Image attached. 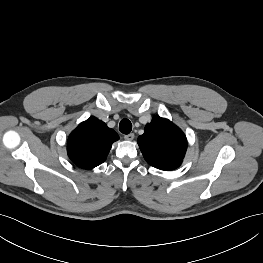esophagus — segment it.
<instances>
[{
  "label": "esophagus",
  "instance_id": "obj_1",
  "mask_svg": "<svg viewBox=\"0 0 263 263\" xmlns=\"http://www.w3.org/2000/svg\"><path fill=\"white\" fill-rule=\"evenodd\" d=\"M124 139L127 141H132L134 139V134L130 133V134L124 135Z\"/></svg>",
  "mask_w": 263,
  "mask_h": 263
}]
</instances>
